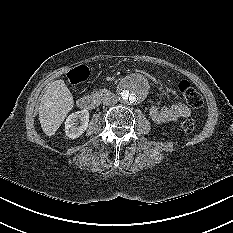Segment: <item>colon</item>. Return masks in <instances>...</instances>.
Masks as SVG:
<instances>
[{
  "label": "colon",
  "mask_w": 233,
  "mask_h": 233,
  "mask_svg": "<svg viewBox=\"0 0 233 233\" xmlns=\"http://www.w3.org/2000/svg\"><path fill=\"white\" fill-rule=\"evenodd\" d=\"M89 76V70L85 66H80L68 74V79L71 84L76 85L84 82ZM178 89L186 102L195 109L201 108L203 98L200 93L187 80H182L178 84ZM197 127L196 120L188 118L182 123V128L185 132H193Z\"/></svg>",
  "instance_id": "1"
}]
</instances>
